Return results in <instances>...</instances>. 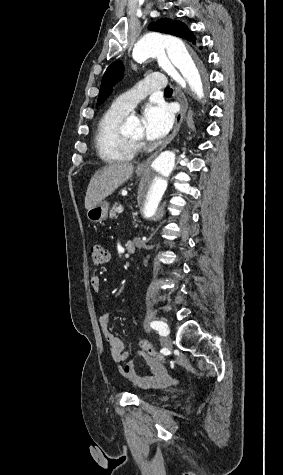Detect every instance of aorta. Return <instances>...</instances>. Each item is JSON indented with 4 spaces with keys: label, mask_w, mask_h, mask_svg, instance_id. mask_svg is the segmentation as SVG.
Returning a JSON list of instances; mask_svg holds the SVG:
<instances>
[{
    "label": "aorta",
    "mask_w": 283,
    "mask_h": 475,
    "mask_svg": "<svg viewBox=\"0 0 283 475\" xmlns=\"http://www.w3.org/2000/svg\"><path fill=\"white\" fill-rule=\"evenodd\" d=\"M132 56L137 62L157 58L160 66L177 83L182 87L188 83L199 99L204 97V73L180 39L148 33L135 44ZM138 126V120L133 118L127 119L125 123L127 131L135 130ZM186 150L176 148L162 152L141 177L135 196V216L139 222L150 223L160 215L163 200L180 171L181 157Z\"/></svg>",
    "instance_id": "762f6f07"
}]
</instances>
